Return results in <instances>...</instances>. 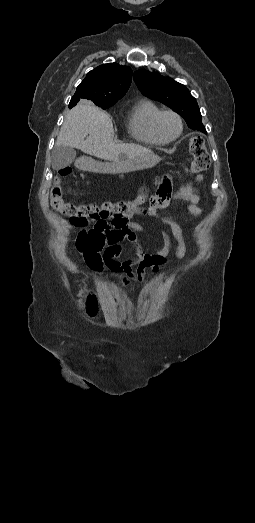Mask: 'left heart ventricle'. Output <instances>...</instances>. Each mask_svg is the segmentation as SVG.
<instances>
[{
    "label": "left heart ventricle",
    "mask_w": 255,
    "mask_h": 523,
    "mask_svg": "<svg viewBox=\"0 0 255 523\" xmlns=\"http://www.w3.org/2000/svg\"><path fill=\"white\" fill-rule=\"evenodd\" d=\"M160 128L166 138H172L178 133L179 126L173 116L166 115L161 120Z\"/></svg>",
    "instance_id": "b2bd125f"
}]
</instances>
